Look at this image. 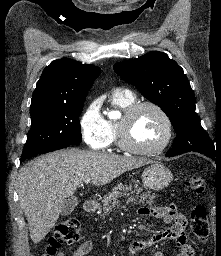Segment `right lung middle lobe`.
Listing matches in <instances>:
<instances>
[{
    "label": "right lung middle lobe",
    "instance_id": "obj_1",
    "mask_svg": "<svg viewBox=\"0 0 221 256\" xmlns=\"http://www.w3.org/2000/svg\"><path fill=\"white\" fill-rule=\"evenodd\" d=\"M84 101L30 111L28 132L21 161L59 145H79L82 140L79 115Z\"/></svg>",
    "mask_w": 221,
    "mask_h": 256
}]
</instances>
